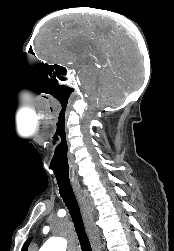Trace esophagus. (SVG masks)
Listing matches in <instances>:
<instances>
[{"instance_id":"1","label":"esophagus","mask_w":174,"mask_h":251,"mask_svg":"<svg viewBox=\"0 0 174 251\" xmlns=\"http://www.w3.org/2000/svg\"><path fill=\"white\" fill-rule=\"evenodd\" d=\"M73 190L77 196V199L80 203L82 213L84 216V219L86 221V224L90 231H94V222L92 217V209L89 204V200L87 197V194L83 191L81 188V185L79 182L72 183ZM100 251V250H99Z\"/></svg>"}]
</instances>
